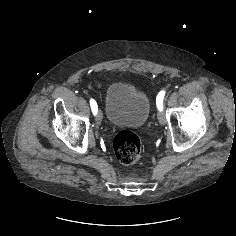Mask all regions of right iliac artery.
I'll use <instances>...</instances> for the list:
<instances>
[{
	"label": "right iliac artery",
	"mask_w": 236,
	"mask_h": 236,
	"mask_svg": "<svg viewBox=\"0 0 236 236\" xmlns=\"http://www.w3.org/2000/svg\"><path fill=\"white\" fill-rule=\"evenodd\" d=\"M90 106H91V110H92L93 114L96 115V113L98 111V106H97V103L94 99H90Z\"/></svg>",
	"instance_id": "obj_1"
}]
</instances>
